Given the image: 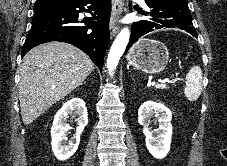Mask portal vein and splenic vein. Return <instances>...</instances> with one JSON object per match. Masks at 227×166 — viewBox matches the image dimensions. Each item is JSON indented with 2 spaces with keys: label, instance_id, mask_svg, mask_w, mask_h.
<instances>
[{
  "label": "portal vein and splenic vein",
  "instance_id": "18ae733b",
  "mask_svg": "<svg viewBox=\"0 0 227 166\" xmlns=\"http://www.w3.org/2000/svg\"><path fill=\"white\" fill-rule=\"evenodd\" d=\"M160 82H161V83H166V82L172 83V81L169 80V79H164V80H161ZM152 85H155V82H152Z\"/></svg>",
  "mask_w": 227,
  "mask_h": 166
}]
</instances>
